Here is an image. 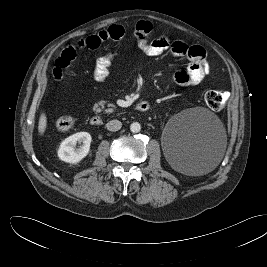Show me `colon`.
Segmentation results:
<instances>
[{
    "mask_svg": "<svg viewBox=\"0 0 267 267\" xmlns=\"http://www.w3.org/2000/svg\"><path fill=\"white\" fill-rule=\"evenodd\" d=\"M204 100L207 106L214 111H221L224 109L228 93L224 90H209L204 95ZM55 127L59 131H69L73 128V120L68 116H62L55 120Z\"/></svg>",
    "mask_w": 267,
    "mask_h": 267,
    "instance_id": "5ec220e1",
    "label": "colon"
}]
</instances>
